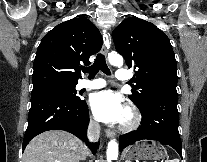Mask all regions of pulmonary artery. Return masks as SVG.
Returning <instances> with one entry per match:
<instances>
[{"instance_id":"1","label":"pulmonary artery","mask_w":207,"mask_h":162,"mask_svg":"<svg viewBox=\"0 0 207 162\" xmlns=\"http://www.w3.org/2000/svg\"><path fill=\"white\" fill-rule=\"evenodd\" d=\"M116 78L122 82L126 83L129 78V74L123 70H118L115 73ZM106 83L102 79H94V80H82L78 83L79 89H100L105 87Z\"/></svg>"}]
</instances>
